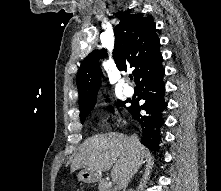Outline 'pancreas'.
Listing matches in <instances>:
<instances>
[{"mask_svg": "<svg viewBox=\"0 0 221 191\" xmlns=\"http://www.w3.org/2000/svg\"><path fill=\"white\" fill-rule=\"evenodd\" d=\"M99 191H116L112 186H108V182L104 179L100 180L98 185Z\"/></svg>", "mask_w": 221, "mask_h": 191, "instance_id": "1", "label": "pancreas"}]
</instances>
